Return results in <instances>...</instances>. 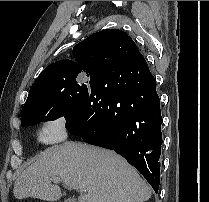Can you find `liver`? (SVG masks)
<instances>
[{
    "instance_id": "6515ba94",
    "label": "liver",
    "mask_w": 209,
    "mask_h": 202,
    "mask_svg": "<svg viewBox=\"0 0 209 202\" xmlns=\"http://www.w3.org/2000/svg\"><path fill=\"white\" fill-rule=\"evenodd\" d=\"M80 191L78 202H144L151 188L138 172L113 151L68 141L46 149L16 179L17 199L56 201L66 195L57 185Z\"/></svg>"
}]
</instances>
